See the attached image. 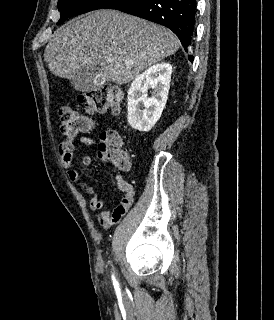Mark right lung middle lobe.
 <instances>
[{"instance_id": "obj_1", "label": "right lung middle lobe", "mask_w": 274, "mask_h": 320, "mask_svg": "<svg viewBox=\"0 0 274 320\" xmlns=\"http://www.w3.org/2000/svg\"><path fill=\"white\" fill-rule=\"evenodd\" d=\"M112 1L113 0H59L58 9L60 11L61 18L57 25L62 24L70 16L102 9Z\"/></svg>"}]
</instances>
